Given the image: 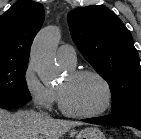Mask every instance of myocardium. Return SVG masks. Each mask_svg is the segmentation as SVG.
Here are the masks:
<instances>
[{"mask_svg":"<svg viewBox=\"0 0 141 139\" xmlns=\"http://www.w3.org/2000/svg\"><path fill=\"white\" fill-rule=\"evenodd\" d=\"M68 75L71 79H78L85 76H92L98 79L105 88L106 101L103 107L96 112L81 113L72 110L67 105L62 91L60 89H57L59 107L64 114L79 119H93V118L101 117L109 111L113 103V90L109 81L101 73L92 69H79V70L70 71Z\"/></svg>","mask_w":141,"mask_h":139,"instance_id":"f54148a6","label":"myocardium"}]
</instances>
